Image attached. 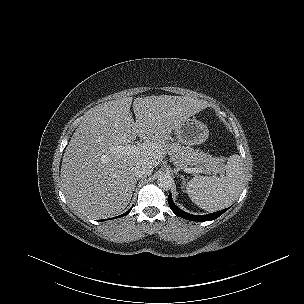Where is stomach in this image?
Returning a JSON list of instances; mask_svg holds the SVG:
<instances>
[{
  "label": "stomach",
  "mask_w": 304,
  "mask_h": 304,
  "mask_svg": "<svg viewBox=\"0 0 304 304\" xmlns=\"http://www.w3.org/2000/svg\"><path fill=\"white\" fill-rule=\"evenodd\" d=\"M178 140L186 145H199L209 136L207 126L196 118H186L174 130Z\"/></svg>",
  "instance_id": "obj_1"
}]
</instances>
